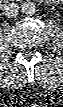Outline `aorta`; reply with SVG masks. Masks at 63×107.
I'll return each instance as SVG.
<instances>
[{
  "instance_id": "762f6f07",
  "label": "aorta",
  "mask_w": 63,
  "mask_h": 107,
  "mask_svg": "<svg viewBox=\"0 0 63 107\" xmlns=\"http://www.w3.org/2000/svg\"><path fill=\"white\" fill-rule=\"evenodd\" d=\"M21 11L25 15H33L36 12V5L32 1H25L21 5Z\"/></svg>"
}]
</instances>
